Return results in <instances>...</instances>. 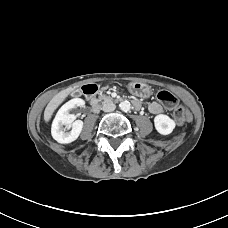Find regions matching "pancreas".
Masks as SVG:
<instances>
[{
	"mask_svg": "<svg viewBox=\"0 0 228 228\" xmlns=\"http://www.w3.org/2000/svg\"><path fill=\"white\" fill-rule=\"evenodd\" d=\"M99 101H102L103 103H107V102H112L113 99L110 96H106V95L101 94L99 96Z\"/></svg>",
	"mask_w": 228,
	"mask_h": 228,
	"instance_id": "cf45deb5",
	"label": "pancreas"
}]
</instances>
